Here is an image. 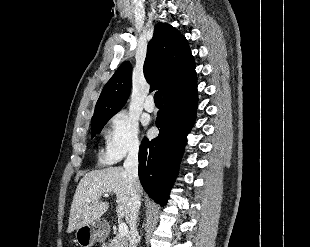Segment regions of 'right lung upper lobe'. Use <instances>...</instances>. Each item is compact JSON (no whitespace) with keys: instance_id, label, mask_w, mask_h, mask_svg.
Masks as SVG:
<instances>
[{"instance_id":"cb5924a9","label":"right lung upper lobe","mask_w":310,"mask_h":247,"mask_svg":"<svg viewBox=\"0 0 310 247\" xmlns=\"http://www.w3.org/2000/svg\"><path fill=\"white\" fill-rule=\"evenodd\" d=\"M195 62L186 38L167 23H157L147 48L144 75L151 90L162 89L163 97L197 81ZM132 69L124 62L105 85L96 103L92 122L115 115L126 103Z\"/></svg>"}]
</instances>
